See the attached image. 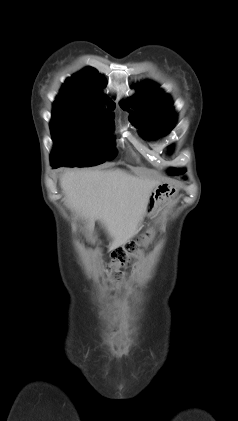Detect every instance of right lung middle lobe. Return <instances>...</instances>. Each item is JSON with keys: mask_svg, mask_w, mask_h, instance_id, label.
<instances>
[{"mask_svg": "<svg viewBox=\"0 0 238 421\" xmlns=\"http://www.w3.org/2000/svg\"><path fill=\"white\" fill-rule=\"evenodd\" d=\"M101 104L56 99L50 129L54 142L51 163L90 167L113 159L117 151L108 135L114 128V114ZM104 121L107 122L104 124Z\"/></svg>", "mask_w": 238, "mask_h": 421, "instance_id": "obj_1", "label": "right lung middle lobe"}]
</instances>
